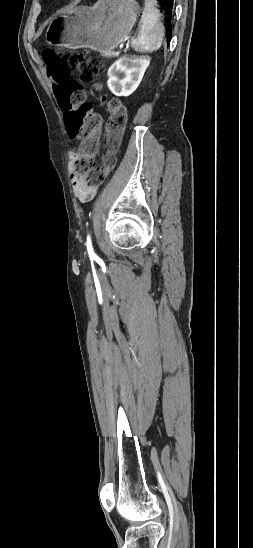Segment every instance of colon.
Masks as SVG:
<instances>
[{
  "mask_svg": "<svg viewBox=\"0 0 253 548\" xmlns=\"http://www.w3.org/2000/svg\"><path fill=\"white\" fill-rule=\"evenodd\" d=\"M45 72L54 89V95L64 112L69 137L82 135L77 156L73 162L76 174L82 175L92 185L102 184L116 164V153L127 121V110L116 98H104L102 104L108 110L105 124V152L102 162L95 164L98 141L102 131V118L85 101L83 87L75 82L70 71L77 73L81 82L92 84L101 72L103 64L78 51L46 50L43 53ZM97 88L99 85H95Z\"/></svg>",
  "mask_w": 253,
  "mask_h": 548,
  "instance_id": "1",
  "label": "colon"
}]
</instances>
